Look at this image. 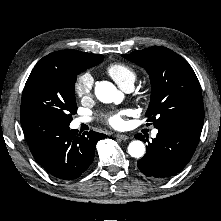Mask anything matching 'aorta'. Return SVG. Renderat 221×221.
<instances>
[{"mask_svg":"<svg viewBox=\"0 0 221 221\" xmlns=\"http://www.w3.org/2000/svg\"><path fill=\"white\" fill-rule=\"evenodd\" d=\"M95 95L98 100L103 103L118 102L120 100V92L108 81H101L95 87ZM145 145L140 140H134L128 145V153L134 158H141L145 154Z\"/></svg>","mask_w":221,"mask_h":221,"instance_id":"obj_1","label":"aorta"}]
</instances>
